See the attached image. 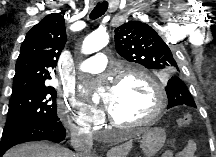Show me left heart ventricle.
<instances>
[{"label": "left heart ventricle", "instance_id": "1", "mask_svg": "<svg viewBox=\"0 0 216 157\" xmlns=\"http://www.w3.org/2000/svg\"><path fill=\"white\" fill-rule=\"evenodd\" d=\"M155 106V96L147 83L138 78H127L112 88L109 112L123 122L146 118Z\"/></svg>", "mask_w": 216, "mask_h": 157}]
</instances>
